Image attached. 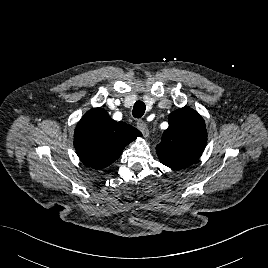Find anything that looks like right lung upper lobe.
<instances>
[{
  "instance_id": "right-lung-upper-lobe-1",
  "label": "right lung upper lobe",
  "mask_w": 268,
  "mask_h": 268,
  "mask_svg": "<svg viewBox=\"0 0 268 268\" xmlns=\"http://www.w3.org/2000/svg\"><path fill=\"white\" fill-rule=\"evenodd\" d=\"M141 132L124 122H116L102 108L89 110L74 133V147L88 167L102 169L115 162L125 146Z\"/></svg>"
}]
</instances>
